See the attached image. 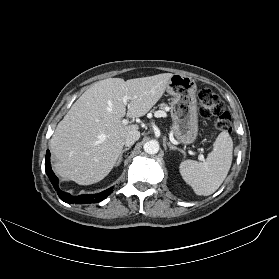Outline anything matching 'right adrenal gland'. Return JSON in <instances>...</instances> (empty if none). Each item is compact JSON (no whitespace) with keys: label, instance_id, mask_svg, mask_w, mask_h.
I'll return each mask as SVG.
<instances>
[{"label":"right adrenal gland","instance_id":"right-adrenal-gland-1","mask_svg":"<svg viewBox=\"0 0 279 279\" xmlns=\"http://www.w3.org/2000/svg\"><path fill=\"white\" fill-rule=\"evenodd\" d=\"M130 148H131V147L128 146V147H125V148L122 150V152H121V154H120V157H119L117 163L115 164V166H118V165L122 162L123 153L126 152L127 150H129Z\"/></svg>","mask_w":279,"mask_h":279}]
</instances>
